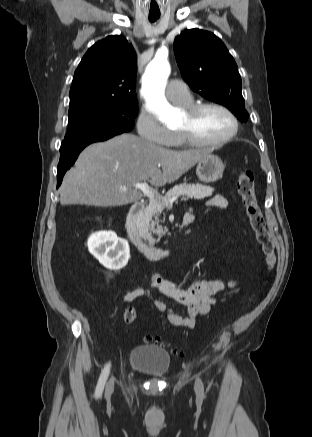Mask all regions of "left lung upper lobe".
<instances>
[{
    "instance_id": "obj_1",
    "label": "left lung upper lobe",
    "mask_w": 312,
    "mask_h": 437,
    "mask_svg": "<svg viewBox=\"0 0 312 437\" xmlns=\"http://www.w3.org/2000/svg\"><path fill=\"white\" fill-rule=\"evenodd\" d=\"M183 79L201 96L230 109L241 122L248 120L235 60L213 33L185 30L174 41Z\"/></svg>"
}]
</instances>
